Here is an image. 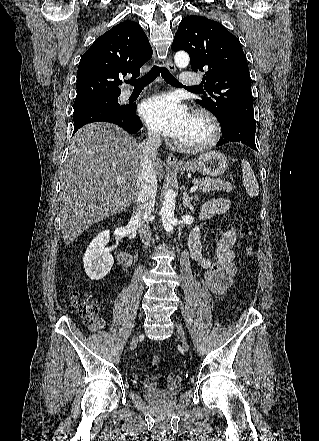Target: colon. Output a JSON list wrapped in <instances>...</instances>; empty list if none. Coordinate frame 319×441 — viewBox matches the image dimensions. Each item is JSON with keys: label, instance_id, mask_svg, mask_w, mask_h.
Here are the masks:
<instances>
[{"label": "colon", "instance_id": "colon-1", "mask_svg": "<svg viewBox=\"0 0 319 441\" xmlns=\"http://www.w3.org/2000/svg\"><path fill=\"white\" fill-rule=\"evenodd\" d=\"M246 253L248 255H251L252 248L251 247L246 248ZM71 298L73 301V305L77 309L78 314L82 318L84 324L92 325L94 322V316L97 313V306L92 303L79 300V295L76 292L71 293ZM149 363L152 366H158L161 363V358L156 355L151 356L149 358Z\"/></svg>", "mask_w": 319, "mask_h": 441}]
</instances>
